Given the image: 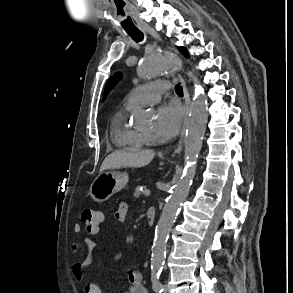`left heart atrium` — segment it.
<instances>
[{"mask_svg":"<svg viewBox=\"0 0 293 293\" xmlns=\"http://www.w3.org/2000/svg\"><path fill=\"white\" fill-rule=\"evenodd\" d=\"M184 114L183 107L176 102L160 106L156 113V134L166 139L174 137L179 131Z\"/></svg>","mask_w":293,"mask_h":293,"instance_id":"39dd6f15","label":"left heart atrium"}]
</instances>
